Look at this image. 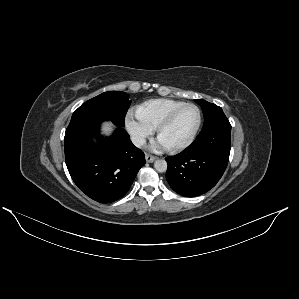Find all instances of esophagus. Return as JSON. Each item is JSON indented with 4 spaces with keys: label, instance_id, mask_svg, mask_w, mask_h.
I'll list each match as a JSON object with an SVG mask.
<instances>
[{
    "label": "esophagus",
    "instance_id": "34e87169",
    "mask_svg": "<svg viewBox=\"0 0 299 299\" xmlns=\"http://www.w3.org/2000/svg\"><path fill=\"white\" fill-rule=\"evenodd\" d=\"M157 157L153 156V155H150V154H146L145 155V159L148 163H152L153 161L156 160Z\"/></svg>",
    "mask_w": 299,
    "mask_h": 299
}]
</instances>
